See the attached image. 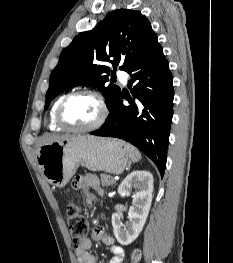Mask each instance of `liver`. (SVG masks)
<instances>
[{
	"instance_id": "1",
	"label": "liver",
	"mask_w": 233,
	"mask_h": 263,
	"mask_svg": "<svg viewBox=\"0 0 233 263\" xmlns=\"http://www.w3.org/2000/svg\"><path fill=\"white\" fill-rule=\"evenodd\" d=\"M68 137H70V136L46 133L38 139V141L36 143V151L44 144L52 143L55 141H60L62 139L68 138Z\"/></svg>"
}]
</instances>
